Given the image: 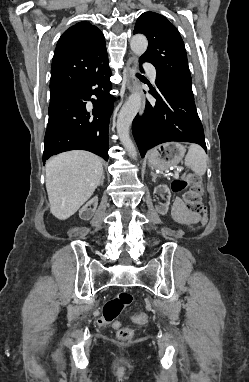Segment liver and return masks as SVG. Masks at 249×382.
I'll return each mask as SVG.
<instances>
[{"label":"liver","mask_w":249,"mask_h":382,"mask_svg":"<svg viewBox=\"0 0 249 382\" xmlns=\"http://www.w3.org/2000/svg\"><path fill=\"white\" fill-rule=\"evenodd\" d=\"M103 175L101 160L87 151H69L46 163L50 212L66 220L92 196Z\"/></svg>","instance_id":"liver-1"}]
</instances>
